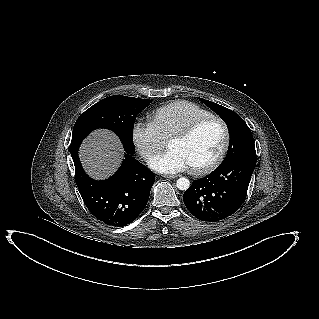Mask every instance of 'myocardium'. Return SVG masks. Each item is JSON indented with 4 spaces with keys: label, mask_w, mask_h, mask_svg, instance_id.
<instances>
[{
    "label": "myocardium",
    "mask_w": 319,
    "mask_h": 319,
    "mask_svg": "<svg viewBox=\"0 0 319 319\" xmlns=\"http://www.w3.org/2000/svg\"><path fill=\"white\" fill-rule=\"evenodd\" d=\"M211 121H214L220 125L223 132V142L218 154L215 156V158L212 161L200 167L189 168V172L193 175H204V174L210 173L211 171L216 169L224 160L226 153L228 151L229 143H230V132L226 122L222 118L215 115L200 117L198 119L193 120L183 129L174 133L168 139V144H170L172 141H175V140H185L191 137L195 133V131L199 127H201L203 124L207 122H211Z\"/></svg>",
    "instance_id": "myocardium-1"
}]
</instances>
